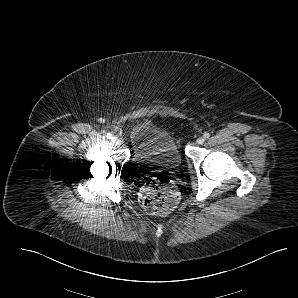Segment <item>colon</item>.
Returning a JSON list of instances; mask_svg holds the SVG:
<instances>
[{
	"mask_svg": "<svg viewBox=\"0 0 298 298\" xmlns=\"http://www.w3.org/2000/svg\"><path fill=\"white\" fill-rule=\"evenodd\" d=\"M139 202L149 214L166 215L176 208L179 194L172 180L160 176L150 179L141 188Z\"/></svg>",
	"mask_w": 298,
	"mask_h": 298,
	"instance_id": "5ec220e1",
	"label": "colon"
}]
</instances>
